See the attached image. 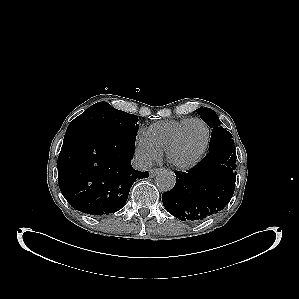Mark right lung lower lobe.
<instances>
[{"instance_id":"right-lung-lower-lobe-1","label":"right lung lower lobe","mask_w":299,"mask_h":299,"mask_svg":"<svg viewBox=\"0 0 299 299\" xmlns=\"http://www.w3.org/2000/svg\"><path fill=\"white\" fill-rule=\"evenodd\" d=\"M136 134L71 132L58 157V184L76 210L94 216L120 210L130 187L148 172L131 166Z\"/></svg>"}]
</instances>
